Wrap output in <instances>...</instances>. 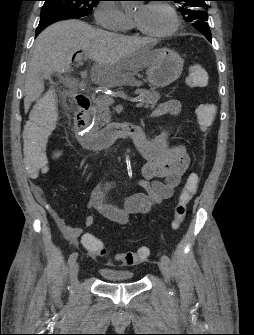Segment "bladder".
<instances>
[{
    "label": "bladder",
    "instance_id": "1",
    "mask_svg": "<svg viewBox=\"0 0 254 335\" xmlns=\"http://www.w3.org/2000/svg\"><path fill=\"white\" fill-rule=\"evenodd\" d=\"M100 275L106 282H129L134 280V274L131 271L103 267L99 270Z\"/></svg>",
    "mask_w": 254,
    "mask_h": 335
}]
</instances>
